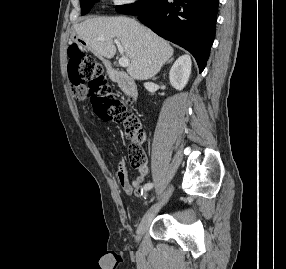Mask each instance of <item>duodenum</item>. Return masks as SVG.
I'll use <instances>...</instances> for the list:
<instances>
[{"label": "duodenum", "mask_w": 286, "mask_h": 269, "mask_svg": "<svg viewBox=\"0 0 286 269\" xmlns=\"http://www.w3.org/2000/svg\"><path fill=\"white\" fill-rule=\"evenodd\" d=\"M106 70L108 77L120 86L128 98L136 101L138 89L134 80L126 72L117 70L112 64H107Z\"/></svg>", "instance_id": "duodenum-1"}]
</instances>
